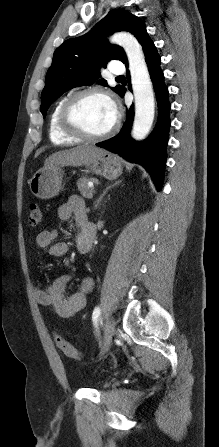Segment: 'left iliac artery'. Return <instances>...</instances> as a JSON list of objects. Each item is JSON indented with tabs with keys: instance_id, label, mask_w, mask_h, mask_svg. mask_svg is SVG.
I'll return each instance as SVG.
<instances>
[{
	"instance_id": "44dca946",
	"label": "left iliac artery",
	"mask_w": 219,
	"mask_h": 447,
	"mask_svg": "<svg viewBox=\"0 0 219 447\" xmlns=\"http://www.w3.org/2000/svg\"><path fill=\"white\" fill-rule=\"evenodd\" d=\"M100 314H101L100 307L99 306L95 307L93 314H92V320H93L95 327H97V321H98V317L100 316Z\"/></svg>"
}]
</instances>
